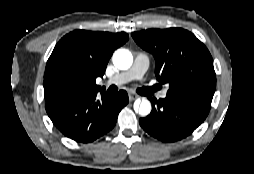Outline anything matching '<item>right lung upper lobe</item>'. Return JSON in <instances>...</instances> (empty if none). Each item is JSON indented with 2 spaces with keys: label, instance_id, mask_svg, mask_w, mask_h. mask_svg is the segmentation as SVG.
I'll return each mask as SVG.
<instances>
[{
  "label": "right lung upper lobe",
  "instance_id": "cb5924a9",
  "mask_svg": "<svg viewBox=\"0 0 254 174\" xmlns=\"http://www.w3.org/2000/svg\"><path fill=\"white\" fill-rule=\"evenodd\" d=\"M129 39L125 32H93L75 30L65 35L49 57L44 74L45 99L50 87L61 78L84 83L89 90H98L97 77L105 73L115 49Z\"/></svg>",
  "mask_w": 254,
  "mask_h": 174
}]
</instances>
